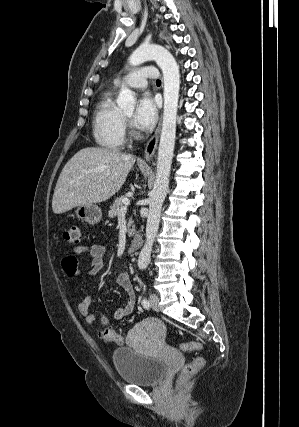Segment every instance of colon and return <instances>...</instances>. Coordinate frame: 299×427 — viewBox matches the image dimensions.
<instances>
[{
    "instance_id": "colon-1",
    "label": "colon",
    "mask_w": 299,
    "mask_h": 427,
    "mask_svg": "<svg viewBox=\"0 0 299 427\" xmlns=\"http://www.w3.org/2000/svg\"><path fill=\"white\" fill-rule=\"evenodd\" d=\"M64 240L71 245H78L81 240L80 228L77 225L71 226L64 232ZM99 336L112 343H123L124 335L106 327H100L98 330ZM202 348V345L198 342H187L182 344L181 349L183 351H194ZM205 364V360L202 357H196L192 362L187 363L181 370L179 377V386H184L185 383L197 374Z\"/></svg>"
}]
</instances>
